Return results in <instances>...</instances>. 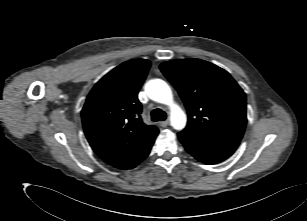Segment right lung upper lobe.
<instances>
[{"mask_svg":"<svg viewBox=\"0 0 307 221\" xmlns=\"http://www.w3.org/2000/svg\"><path fill=\"white\" fill-rule=\"evenodd\" d=\"M150 61L122 63L102 77L90 91L82 109L85 135L94 152L108 164H125L158 135L155 126L141 119L137 98Z\"/></svg>","mask_w":307,"mask_h":221,"instance_id":"right-lung-upper-lobe-1","label":"right lung upper lobe"}]
</instances>
